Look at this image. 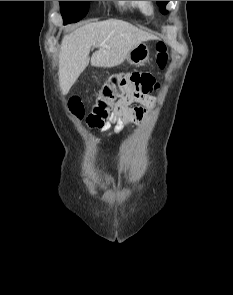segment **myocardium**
I'll list each match as a JSON object with an SVG mask.
<instances>
[{"instance_id":"f54148a6","label":"myocardium","mask_w":233,"mask_h":295,"mask_svg":"<svg viewBox=\"0 0 233 295\" xmlns=\"http://www.w3.org/2000/svg\"><path fill=\"white\" fill-rule=\"evenodd\" d=\"M143 8L145 14L151 15L154 12V4L152 1H143Z\"/></svg>"}]
</instances>
